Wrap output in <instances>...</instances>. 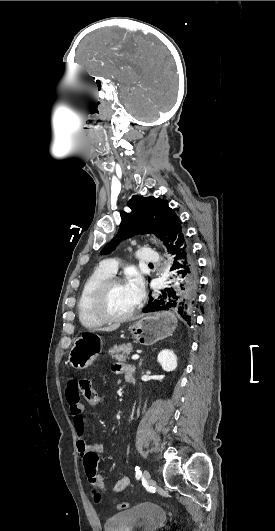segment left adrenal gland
Listing matches in <instances>:
<instances>
[{
    "label": "left adrenal gland",
    "mask_w": 275,
    "mask_h": 531,
    "mask_svg": "<svg viewBox=\"0 0 275 531\" xmlns=\"http://www.w3.org/2000/svg\"><path fill=\"white\" fill-rule=\"evenodd\" d=\"M141 365H142V359H140L139 367H141Z\"/></svg>",
    "instance_id": "a2214340"
}]
</instances>
